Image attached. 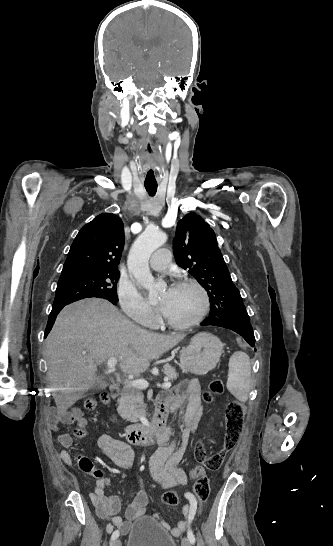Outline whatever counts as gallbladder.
I'll list each match as a JSON object with an SVG mask.
<instances>
[{"label":"gallbladder","mask_w":333,"mask_h":546,"mask_svg":"<svg viewBox=\"0 0 333 546\" xmlns=\"http://www.w3.org/2000/svg\"><path fill=\"white\" fill-rule=\"evenodd\" d=\"M106 387H107V381L104 380L102 377H98L92 386V391L105 389Z\"/></svg>","instance_id":"1"}]
</instances>
